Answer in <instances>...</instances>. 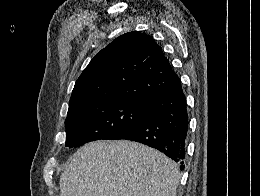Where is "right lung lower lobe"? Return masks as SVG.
<instances>
[{"label":"right lung lower lobe","mask_w":260,"mask_h":196,"mask_svg":"<svg viewBox=\"0 0 260 196\" xmlns=\"http://www.w3.org/2000/svg\"><path fill=\"white\" fill-rule=\"evenodd\" d=\"M149 117L114 140L126 139L158 149L185 168L188 113L180 79L162 92L140 102Z\"/></svg>","instance_id":"right-lung-lower-lobe-1"}]
</instances>
